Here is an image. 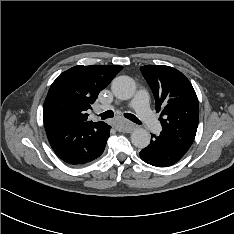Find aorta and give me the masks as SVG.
I'll return each instance as SVG.
<instances>
[{"label":"aorta","mask_w":234,"mask_h":234,"mask_svg":"<svg viewBox=\"0 0 234 234\" xmlns=\"http://www.w3.org/2000/svg\"><path fill=\"white\" fill-rule=\"evenodd\" d=\"M111 89L117 98L128 100L135 93V83L128 76H119L112 81ZM131 142L135 147L143 149L150 143V134L143 128H137L131 134Z\"/></svg>","instance_id":"obj_1"}]
</instances>
